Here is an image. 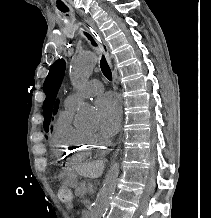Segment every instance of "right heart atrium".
<instances>
[{"mask_svg":"<svg viewBox=\"0 0 211 218\" xmlns=\"http://www.w3.org/2000/svg\"><path fill=\"white\" fill-rule=\"evenodd\" d=\"M91 137L94 139H99L96 135H92Z\"/></svg>","mask_w":211,"mask_h":218,"instance_id":"d8ad5b80","label":"right heart atrium"}]
</instances>
